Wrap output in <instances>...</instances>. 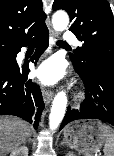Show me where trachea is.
Returning <instances> with one entry per match:
<instances>
[{"label":"trachea","instance_id":"3493384b","mask_svg":"<svg viewBox=\"0 0 114 156\" xmlns=\"http://www.w3.org/2000/svg\"><path fill=\"white\" fill-rule=\"evenodd\" d=\"M57 43H60V44H65L64 41H57Z\"/></svg>","mask_w":114,"mask_h":156}]
</instances>
